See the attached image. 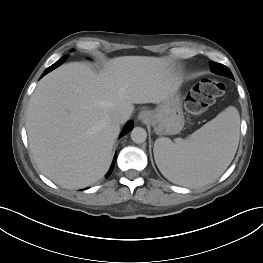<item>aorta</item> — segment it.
<instances>
[{
    "mask_svg": "<svg viewBox=\"0 0 263 263\" xmlns=\"http://www.w3.org/2000/svg\"><path fill=\"white\" fill-rule=\"evenodd\" d=\"M147 138V132L142 127H135L131 131V139L133 142L140 144L146 141Z\"/></svg>",
    "mask_w": 263,
    "mask_h": 263,
    "instance_id": "obj_1",
    "label": "aorta"
}]
</instances>
